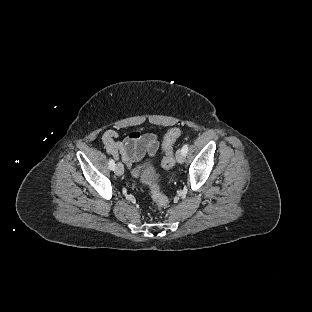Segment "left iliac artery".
I'll use <instances>...</instances> for the list:
<instances>
[{"mask_svg": "<svg viewBox=\"0 0 312 312\" xmlns=\"http://www.w3.org/2000/svg\"><path fill=\"white\" fill-rule=\"evenodd\" d=\"M182 152H183L184 155L187 154V152H188V144H185V145L182 147Z\"/></svg>", "mask_w": 312, "mask_h": 312, "instance_id": "left-iliac-artery-1", "label": "left iliac artery"}]
</instances>
